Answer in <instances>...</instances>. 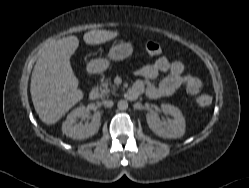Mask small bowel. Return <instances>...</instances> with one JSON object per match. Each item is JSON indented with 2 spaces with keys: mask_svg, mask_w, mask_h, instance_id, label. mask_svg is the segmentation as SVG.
Segmentation results:
<instances>
[{
  "mask_svg": "<svg viewBox=\"0 0 249 188\" xmlns=\"http://www.w3.org/2000/svg\"><path fill=\"white\" fill-rule=\"evenodd\" d=\"M162 73L167 76L158 84L154 80ZM135 74L140 78L133 88L144 93L149 99L157 100L171 95L175 90L183 87L189 95H196L201 89L200 80L192 74L185 73L184 65L180 61H170L162 56L154 64L139 67Z\"/></svg>",
  "mask_w": 249,
  "mask_h": 188,
  "instance_id": "obj_1",
  "label": "small bowel"
}]
</instances>
